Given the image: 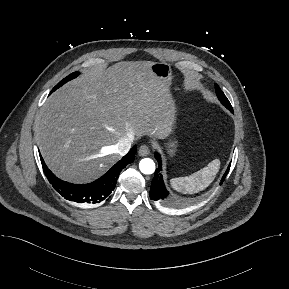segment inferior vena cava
<instances>
[{
	"mask_svg": "<svg viewBox=\"0 0 289 289\" xmlns=\"http://www.w3.org/2000/svg\"><path fill=\"white\" fill-rule=\"evenodd\" d=\"M133 139L134 138L132 136L122 137L116 144L117 152L120 155H125L130 150Z\"/></svg>",
	"mask_w": 289,
	"mask_h": 289,
	"instance_id": "1",
	"label": "inferior vena cava"
}]
</instances>
